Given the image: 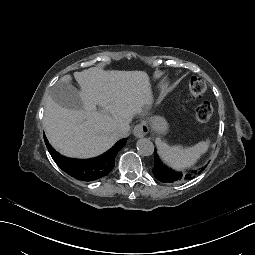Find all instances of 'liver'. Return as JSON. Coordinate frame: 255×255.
<instances>
[{"mask_svg": "<svg viewBox=\"0 0 255 255\" xmlns=\"http://www.w3.org/2000/svg\"><path fill=\"white\" fill-rule=\"evenodd\" d=\"M73 76L83 109L62 107L48 96L44 130L51 145L66 156H98L116 142L118 127L129 123L132 114L148 102V77L145 72L107 73L98 67ZM59 82L72 84L74 80L68 74ZM97 104L101 111H97Z\"/></svg>", "mask_w": 255, "mask_h": 255, "instance_id": "obj_1", "label": "liver"}]
</instances>
